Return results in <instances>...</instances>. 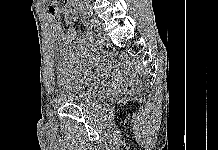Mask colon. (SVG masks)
Listing matches in <instances>:
<instances>
[{"label": "colon", "mask_w": 218, "mask_h": 150, "mask_svg": "<svg viewBox=\"0 0 218 150\" xmlns=\"http://www.w3.org/2000/svg\"><path fill=\"white\" fill-rule=\"evenodd\" d=\"M65 21H66V24L69 26V29L65 32L63 39L66 41H71L75 38V31L71 27L74 22V16L72 14H67L65 16Z\"/></svg>", "instance_id": "colon-1"}]
</instances>
